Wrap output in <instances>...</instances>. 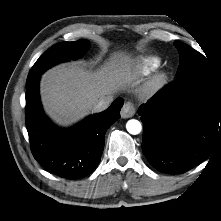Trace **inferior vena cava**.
Segmentation results:
<instances>
[{
  "label": "inferior vena cava",
  "instance_id": "obj_1",
  "mask_svg": "<svg viewBox=\"0 0 221 221\" xmlns=\"http://www.w3.org/2000/svg\"><path fill=\"white\" fill-rule=\"evenodd\" d=\"M113 98L111 96L101 98L93 107L94 112H102L106 110L110 103L112 102Z\"/></svg>",
  "mask_w": 221,
  "mask_h": 221
}]
</instances>
